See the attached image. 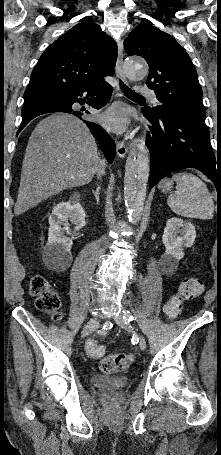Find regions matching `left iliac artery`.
<instances>
[{
    "label": "left iliac artery",
    "instance_id": "1",
    "mask_svg": "<svg viewBox=\"0 0 221 455\" xmlns=\"http://www.w3.org/2000/svg\"><path fill=\"white\" fill-rule=\"evenodd\" d=\"M123 314H124L123 318L125 320H127L128 322L132 321L134 319V317L130 314V312L128 310L123 311Z\"/></svg>",
    "mask_w": 221,
    "mask_h": 455
}]
</instances>
